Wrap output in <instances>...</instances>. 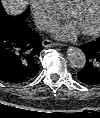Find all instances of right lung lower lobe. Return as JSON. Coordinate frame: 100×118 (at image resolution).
<instances>
[{
	"label": "right lung lower lobe",
	"mask_w": 100,
	"mask_h": 118,
	"mask_svg": "<svg viewBox=\"0 0 100 118\" xmlns=\"http://www.w3.org/2000/svg\"><path fill=\"white\" fill-rule=\"evenodd\" d=\"M25 19L6 15L0 20V79L13 84L27 82L39 72L41 37Z\"/></svg>",
	"instance_id": "right-lung-lower-lobe-1"
}]
</instances>
